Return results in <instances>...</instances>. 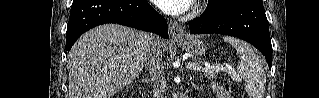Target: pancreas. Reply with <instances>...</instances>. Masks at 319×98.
Returning <instances> with one entry per match:
<instances>
[{
    "instance_id": "1",
    "label": "pancreas",
    "mask_w": 319,
    "mask_h": 98,
    "mask_svg": "<svg viewBox=\"0 0 319 98\" xmlns=\"http://www.w3.org/2000/svg\"><path fill=\"white\" fill-rule=\"evenodd\" d=\"M200 72L208 79H215L216 78V73L217 71L213 70V69H201Z\"/></svg>"
}]
</instances>
